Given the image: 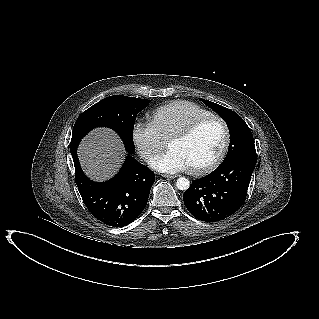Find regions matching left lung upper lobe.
I'll return each mask as SVG.
<instances>
[{
    "label": "left lung upper lobe",
    "mask_w": 319,
    "mask_h": 319,
    "mask_svg": "<svg viewBox=\"0 0 319 319\" xmlns=\"http://www.w3.org/2000/svg\"><path fill=\"white\" fill-rule=\"evenodd\" d=\"M208 107L217 112L227 123L230 132V144L222 164L238 158L257 160L252 133L245 121L234 111L219 104L201 99Z\"/></svg>",
    "instance_id": "obj_1"
}]
</instances>
